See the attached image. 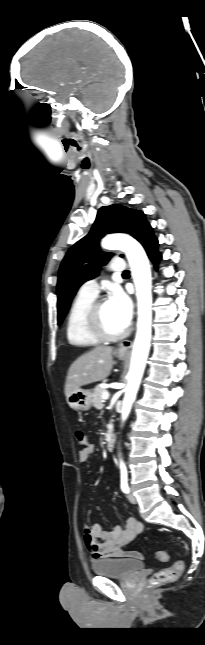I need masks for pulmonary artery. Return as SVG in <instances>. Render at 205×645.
Here are the masks:
<instances>
[{
    "mask_svg": "<svg viewBox=\"0 0 205 645\" xmlns=\"http://www.w3.org/2000/svg\"><path fill=\"white\" fill-rule=\"evenodd\" d=\"M110 269L114 272H124L126 269V264L122 259L116 258L111 261ZM98 281L97 279H91L82 284L80 287V292L96 296L98 294Z\"/></svg>",
    "mask_w": 205,
    "mask_h": 645,
    "instance_id": "pulmonary-artery-1",
    "label": "pulmonary artery"
}]
</instances>
